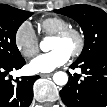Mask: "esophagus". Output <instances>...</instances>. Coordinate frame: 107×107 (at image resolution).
Segmentation results:
<instances>
[{
	"label": "esophagus",
	"instance_id": "34e87169",
	"mask_svg": "<svg viewBox=\"0 0 107 107\" xmlns=\"http://www.w3.org/2000/svg\"><path fill=\"white\" fill-rule=\"evenodd\" d=\"M53 73H42L40 74L41 77H51Z\"/></svg>",
	"mask_w": 107,
	"mask_h": 107
}]
</instances>
